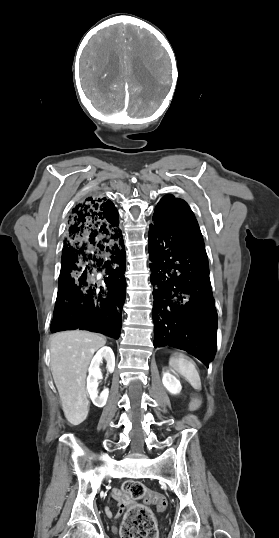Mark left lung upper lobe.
Returning <instances> with one entry per match:
<instances>
[{
    "instance_id": "obj_1",
    "label": "left lung upper lobe",
    "mask_w": 279,
    "mask_h": 538,
    "mask_svg": "<svg viewBox=\"0 0 279 538\" xmlns=\"http://www.w3.org/2000/svg\"><path fill=\"white\" fill-rule=\"evenodd\" d=\"M155 227L192 230L199 233V225L188 204L173 195L164 196L155 208Z\"/></svg>"
}]
</instances>
